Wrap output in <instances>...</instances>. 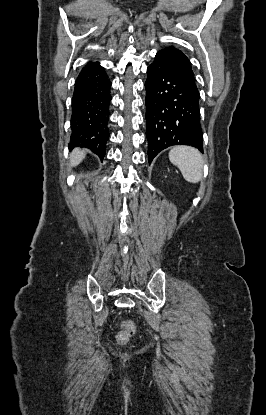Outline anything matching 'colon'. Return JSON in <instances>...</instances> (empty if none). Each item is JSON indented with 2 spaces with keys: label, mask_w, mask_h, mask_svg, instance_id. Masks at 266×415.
Masks as SVG:
<instances>
[{
  "label": "colon",
  "mask_w": 266,
  "mask_h": 415,
  "mask_svg": "<svg viewBox=\"0 0 266 415\" xmlns=\"http://www.w3.org/2000/svg\"><path fill=\"white\" fill-rule=\"evenodd\" d=\"M135 325L131 321H123L120 324V330L116 335L117 342L120 345L126 344L135 334Z\"/></svg>",
  "instance_id": "obj_1"
}]
</instances>
